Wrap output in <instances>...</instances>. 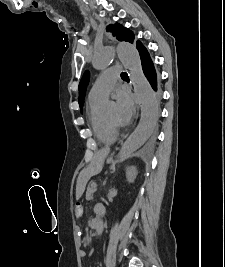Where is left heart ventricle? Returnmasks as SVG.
<instances>
[{"mask_svg":"<svg viewBox=\"0 0 225 267\" xmlns=\"http://www.w3.org/2000/svg\"><path fill=\"white\" fill-rule=\"evenodd\" d=\"M105 119H107L109 122L116 124V112L115 110H111L108 112L105 116Z\"/></svg>","mask_w":225,"mask_h":267,"instance_id":"b2bd125f","label":"left heart ventricle"}]
</instances>
